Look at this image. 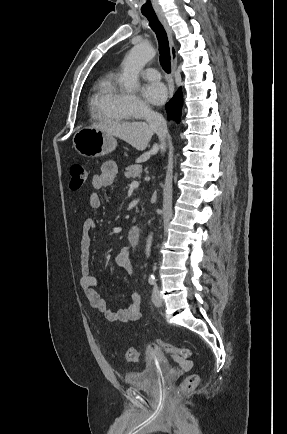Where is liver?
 <instances>
[{"instance_id":"6515ba94","label":"liver","mask_w":287,"mask_h":434,"mask_svg":"<svg viewBox=\"0 0 287 434\" xmlns=\"http://www.w3.org/2000/svg\"><path fill=\"white\" fill-rule=\"evenodd\" d=\"M92 127L105 131L110 135L116 136L124 140L139 151H143L146 149L153 134L156 133L149 124L142 121L122 123L109 121L103 123H95L92 125ZM159 148V145L154 144L153 147L148 152L143 153L137 159V161H146L151 155H155L158 152Z\"/></svg>"}]
</instances>
